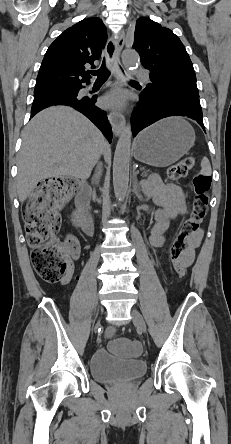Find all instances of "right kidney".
Returning <instances> with one entry per match:
<instances>
[{"mask_svg":"<svg viewBox=\"0 0 231 444\" xmlns=\"http://www.w3.org/2000/svg\"><path fill=\"white\" fill-rule=\"evenodd\" d=\"M72 221H73L75 226H78V227L80 226L81 216H80V214L78 212H74L72 214Z\"/></svg>","mask_w":231,"mask_h":444,"instance_id":"1","label":"right kidney"}]
</instances>
